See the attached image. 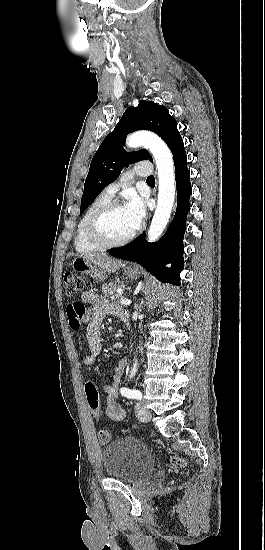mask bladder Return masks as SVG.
<instances>
[{
    "label": "bladder",
    "mask_w": 265,
    "mask_h": 550,
    "mask_svg": "<svg viewBox=\"0 0 265 550\" xmlns=\"http://www.w3.org/2000/svg\"><path fill=\"white\" fill-rule=\"evenodd\" d=\"M104 472L128 483L147 479L154 470V454L132 437H122L108 444L101 453Z\"/></svg>",
    "instance_id": "obj_1"
}]
</instances>
